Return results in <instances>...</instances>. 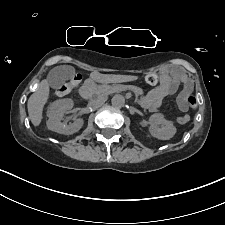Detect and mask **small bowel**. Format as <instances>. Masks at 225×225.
Masks as SVG:
<instances>
[{
    "instance_id": "c3829d8e",
    "label": "small bowel",
    "mask_w": 225,
    "mask_h": 225,
    "mask_svg": "<svg viewBox=\"0 0 225 225\" xmlns=\"http://www.w3.org/2000/svg\"><path fill=\"white\" fill-rule=\"evenodd\" d=\"M163 76L164 82L146 94L141 101L142 106L152 112L158 111L163 98L174 94L181 85L182 89L177 101L180 111L184 114L178 116L177 122L184 124L189 120V116L185 112L187 111V99L193 90V81L182 69L177 67L166 68Z\"/></svg>"
}]
</instances>
